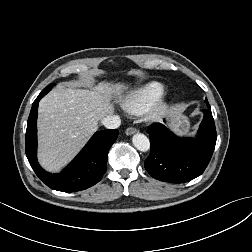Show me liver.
Instances as JSON below:
<instances>
[{"label":"liver","instance_id":"1","mask_svg":"<svg viewBox=\"0 0 252 252\" xmlns=\"http://www.w3.org/2000/svg\"><path fill=\"white\" fill-rule=\"evenodd\" d=\"M123 83L100 82L91 89L62 88L39 103L38 141L40 164L59 171L98 129L99 120L114 113L112 99H122Z\"/></svg>","mask_w":252,"mask_h":252}]
</instances>
